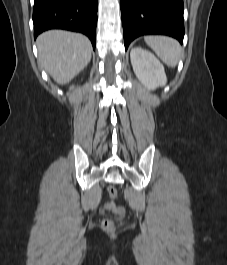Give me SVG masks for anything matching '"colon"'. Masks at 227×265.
<instances>
[{
  "label": "colon",
  "instance_id": "colon-1",
  "mask_svg": "<svg viewBox=\"0 0 227 265\" xmlns=\"http://www.w3.org/2000/svg\"><path fill=\"white\" fill-rule=\"evenodd\" d=\"M108 195L110 197V201L106 204V208L108 210H110L111 212L118 214V215H123L124 211L122 208L118 207L115 203H114V199L117 196V189L114 186H109L108 189ZM102 228L104 231L112 233L116 230L117 228V223L111 219H105L102 222Z\"/></svg>",
  "mask_w": 227,
  "mask_h": 265
}]
</instances>
